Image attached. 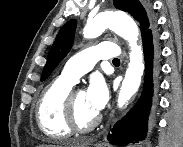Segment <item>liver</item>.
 Segmentation results:
<instances>
[{"mask_svg":"<svg viewBox=\"0 0 183 147\" xmlns=\"http://www.w3.org/2000/svg\"><path fill=\"white\" fill-rule=\"evenodd\" d=\"M87 144H85L82 141H67L62 142L59 145H41L39 147H85Z\"/></svg>","mask_w":183,"mask_h":147,"instance_id":"6515ba94","label":"liver"}]
</instances>
